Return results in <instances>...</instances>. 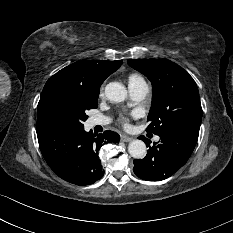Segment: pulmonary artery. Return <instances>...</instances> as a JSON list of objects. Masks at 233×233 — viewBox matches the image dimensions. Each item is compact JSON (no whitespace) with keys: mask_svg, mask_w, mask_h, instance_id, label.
I'll return each instance as SVG.
<instances>
[{"mask_svg":"<svg viewBox=\"0 0 233 233\" xmlns=\"http://www.w3.org/2000/svg\"><path fill=\"white\" fill-rule=\"evenodd\" d=\"M129 92L131 97L136 100L140 101L143 100L148 92V86L146 84H139V85H129ZM109 122V119L106 117H97L92 119L93 125H105ZM159 137H155V141H158Z\"/></svg>","mask_w":233,"mask_h":233,"instance_id":"pulmonary-artery-1","label":"pulmonary artery"}]
</instances>
